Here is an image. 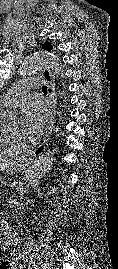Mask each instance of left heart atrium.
<instances>
[{
	"label": "left heart atrium",
	"mask_w": 118,
	"mask_h": 269,
	"mask_svg": "<svg viewBox=\"0 0 118 269\" xmlns=\"http://www.w3.org/2000/svg\"><path fill=\"white\" fill-rule=\"evenodd\" d=\"M50 111L48 106L39 100L30 102L23 114L24 129L30 139L42 136L48 128Z\"/></svg>",
	"instance_id": "left-heart-atrium-1"
}]
</instances>
